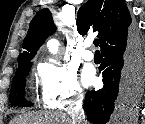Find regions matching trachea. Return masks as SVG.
<instances>
[{"mask_svg":"<svg viewBox=\"0 0 145 124\" xmlns=\"http://www.w3.org/2000/svg\"><path fill=\"white\" fill-rule=\"evenodd\" d=\"M94 45H95V47H98V45H99V40L98 39L94 40Z\"/></svg>","mask_w":145,"mask_h":124,"instance_id":"1","label":"trachea"}]
</instances>
